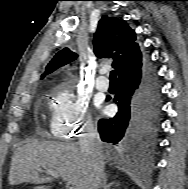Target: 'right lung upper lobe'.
<instances>
[{"label": "right lung upper lobe", "instance_id": "1", "mask_svg": "<svg viewBox=\"0 0 188 189\" xmlns=\"http://www.w3.org/2000/svg\"><path fill=\"white\" fill-rule=\"evenodd\" d=\"M93 45L98 58L114 59L113 68L118 79L138 72L143 66L144 57L136 42V34L124 20L102 16L94 34ZM76 58V53L64 48L46 66L45 74L41 78Z\"/></svg>", "mask_w": 188, "mask_h": 189}]
</instances>
